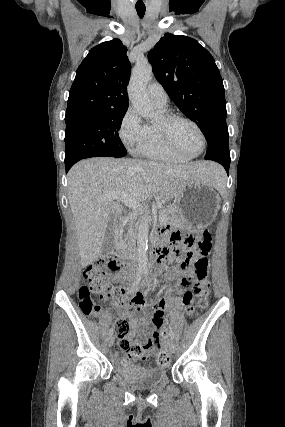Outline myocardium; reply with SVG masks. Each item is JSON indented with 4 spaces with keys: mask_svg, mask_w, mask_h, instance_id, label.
<instances>
[{
    "mask_svg": "<svg viewBox=\"0 0 285 427\" xmlns=\"http://www.w3.org/2000/svg\"><path fill=\"white\" fill-rule=\"evenodd\" d=\"M178 121H183L186 123L191 124L199 133L201 140H202V147L200 149L199 152L195 153V154H189L185 151H183L175 142L173 135H172V125L175 122ZM156 129L158 131V133L160 134L162 140L165 142V144L171 148L173 151H175L176 153L185 156L187 158H195L197 156H199L206 148L207 145V139L206 136L202 130V128L200 127V125L195 122L194 120L179 115V114H175V113H169V112H165L161 115V123L160 124H156Z\"/></svg>",
    "mask_w": 285,
    "mask_h": 427,
    "instance_id": "1",
    "label": "myocardium"
}]
</instances>
